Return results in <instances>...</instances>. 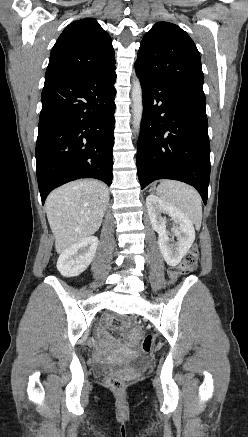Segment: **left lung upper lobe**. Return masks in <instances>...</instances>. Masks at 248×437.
<instances>
[{
  "instance_id": "1",
  "label": "left lung upper lobe",
  "mask_w": 248,
  "mask_h": 437,
  "mask_svg": "<svg viewBox=\"0 0 248 437\" xmlns=\"http://www.w3.org/2000/svg\"><path fill=\"white\" fill-rule=\"evenodd\" d=\"M134 67L149 78L204 94L200 54L189 35L175 24L158 22L146 33Z\"/></svg>"
}]
</instances>
